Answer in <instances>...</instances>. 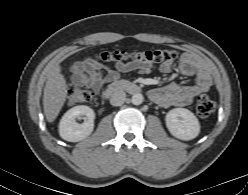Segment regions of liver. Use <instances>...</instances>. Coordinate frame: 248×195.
<instances>
[{
    "mask_svg": "<svg viewBox=\"0 0 248 195\" xmlns=\"http://www.w3.org/2000/svg\"><path fill=\"white\" fill-rule=\"evenodd\" d=\"M67 98V83L61 74L60 65L52 67L46 81L43 95L44 114L48 122H53L61 111Z\"/></svg>",
    "mask_w": 248,
    "mask_h": 195,
    "instance_id": "liver-1",
    "label": "liver"
}]
</instances>
